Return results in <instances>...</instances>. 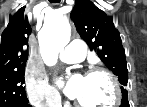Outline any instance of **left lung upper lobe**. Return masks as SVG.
I'll list each match as a JSON object with an SVG mask.
<instances>
[{"label": "left lung upper lobe", "mask_w": 147, "mask_h": 107, "mask_svg": "<svg viewBox=\"0 0 147 107\" xmlns=\"http://www.w3.org/2000/svg\"><path fill=\"white\" fill-rule=\"evenodd\" d=\"M71 18L90 50L95 51L102 62L118 76L122 84V99L127 98L125 86L128 82V70L125 51L113 19L89 0H76Z\"/></svg>", "instance_id": "1"}]
</instances>
